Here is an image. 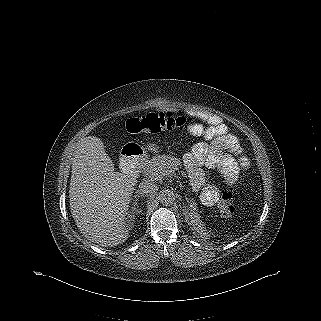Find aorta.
<instances>
[{
	"mask_svg": "<svg viewBox=\"0 0 321 321\" xmlns=\"http://www.w3.org/2000/svg\"><path fill=\"white\" fill-rule=\"evenodd\" d=\"M160 202L165 206H170L175 201V194L170 190H164L159 195Z\"/></svg>",
	"mask_w": 321,
	"mask_h": 321,
	"instance_id": "1",
	"label": "aorta"
}]
</instances>
